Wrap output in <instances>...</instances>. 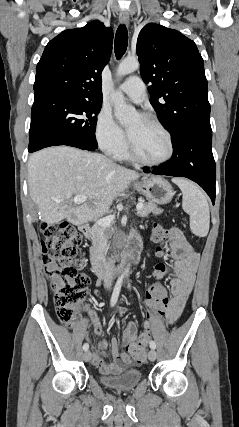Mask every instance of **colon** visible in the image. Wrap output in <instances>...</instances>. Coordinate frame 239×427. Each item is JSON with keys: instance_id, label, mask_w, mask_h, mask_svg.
Returning a JSON list of instances; mask_svg holds the SVG:
<instances>
[{"instance_id": "obj_1", "label": "colon", "mask_w": 239, "mask_h": 427, "mask_svg": "<svg viewBox=\"0 0 239 427\" xmlns=\"http://www.w3.org/2000/svg\"><path fill=\"white\" fill-rule=\"evenodd\" d=\"M147 233L155 247L157 257L164 258L171 237L166 235L167 228L162 222H152ZM43 235L41 260L44 271L54 294V304L58 319L71 326L76 318L79 304L87 297L89 278L82 272V237L66 222L43 223L40 227ZM162 260L161 258L159 259ZM168 262H154V280L148 281L143 295L147 308L158 317H162L169 297V290L163 282L169 281ZM150 338V326L147 325L138 341L127 348V353L137 363L145 361L146 346Z\"/></svg>"}]
</instances>
